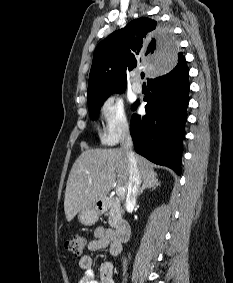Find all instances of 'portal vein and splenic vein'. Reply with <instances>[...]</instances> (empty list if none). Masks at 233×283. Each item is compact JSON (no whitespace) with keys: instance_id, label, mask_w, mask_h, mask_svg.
I'll use <instances>...</instances> for the list:
<instances>
[{"instance_id":"1","label":"portal vein and splenic vein","mask_w":233,"mask_h":283,"mask_svg":"<svg viewBox=\"0 0 233 283\" xmlns=\"http://www.w3.org/2000/svg\"><path fill=\"white\" fill-rule=\"evenodd\" d=\"M126 189L123 186L117 187L116 193L118 196H121L125 193Z\"/></svg>"}]
</instances>
